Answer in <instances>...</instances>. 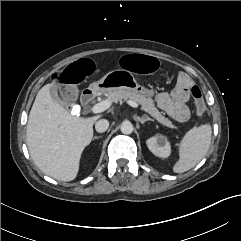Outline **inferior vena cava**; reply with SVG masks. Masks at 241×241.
Returning a JSON list of instances; mask_svg holds the SVG:
<instances>
[{"mask_svg": "<svg viewBox=\"0 0 241 241\" xmlns=\"http://www.w3.org/2000/svg\"><path fill=\"white\" fill-rule=\"evenodd\" d=\"M109 127V122L106 119H100L95 124V129L98 133L105 132Z\"/></svg>", "mask_w": 241, "mask_h": 241, "instance_id": "1", "label": "inferior vena cava"}]
</instances>
